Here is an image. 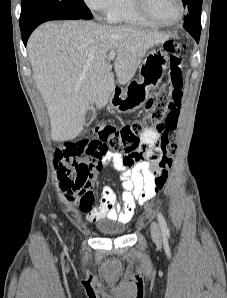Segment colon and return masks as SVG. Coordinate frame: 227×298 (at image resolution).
Here are the masks:
<instances>
[{
    "instance_id": "5ec220e1",
    "label": "colon",
    "mask_w": 227,
    "mask_h": 298,
    "mask_svg": "<svg viewBox=\"0 0 227 298\" xmlns=\"http://www.w3.org/2000/svg\"><path fill=\"white\" fill-rule=\"evenodd\" d=\"M183 49V44L179 42L168 41L165 43V50L170 54L169 80L156 93L154 97L156 102L147 103L153 105L150 112H145L142 117L119 126L98 123L90 130L94 138L87 139L88 142H110V147H107V150H132L135 152L140 148L159 149L160 154L152 153L151 155L153 159L158 160L161 169L159 173H151V178H155L151 185V191L154 194L164 187L168 178V168L172 164V156L176 150L175 129L178 123V107L182 99L181 88L183 85ZM155 125H164L165 129L155 130ZM149 131H157V137L150 139L144 146L142 138ZM81 182L82 179L79 178L74 185L70 186L72 190L67 191L69 198H72L74 188Z\"/></svg>"
}]
</instances>
